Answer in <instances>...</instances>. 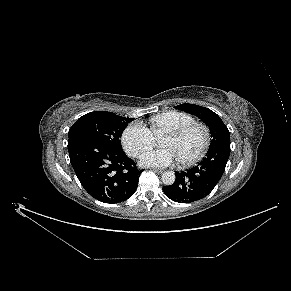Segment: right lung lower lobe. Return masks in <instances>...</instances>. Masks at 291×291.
Returning <instances> with one entry per match:
<instances>
[{
    "label": "right lung lower lobe",
    "mask_w": 291,
    "mask_h": 291,
    "mask_svg": "<svg viewBox=\"0 0 291 291\" xmlns=\"http://www.w3.org/2000/svg\"><path fill=\"white\" fill-rule=\"evenodd\" d=\"M68 151L80 183L95 199L118 203L136 191L143 170L124 151L83 134L69 139Z\"/></svg>",
    "instance_id": "obj_1"
}]
</instances>
